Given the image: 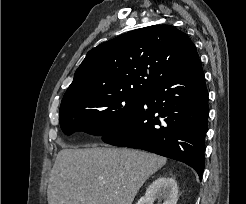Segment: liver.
I'll return each instance as SVG.
<instances>
[{"label": "liver", "instance_id": "6515ba94", "mask_svg": "<svg viewBox=\"0 0 246 204\" xmlns=\"http://www.w3.org/2000/svg\"><path fill=\"white\" fill-rule=\"evenodd\" d=\"M166 161L133 149L64 148L50 173L48 204H132L143 183Z\"/></svg>", "mask_w": 246, "mask_h": 204}]
</instances>
